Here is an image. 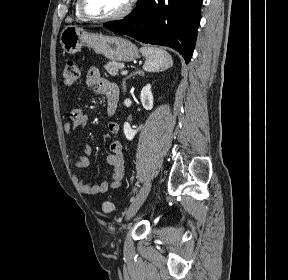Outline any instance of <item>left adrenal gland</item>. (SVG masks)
Returning <instances> with one entry per match:
<instances>
[{"instance_id": "1", "label": "left adrenal gland", "mask_w": 288, "mask_h": 280, "mask_svg": "<svg viewBox=\"0 0 288 280\" xmlns=\"http://www.w3.org/2000/svg\"><path fill=\"white\" fill-rule=\"evenodd\" d=\"M136 75H144V72L142 70H136L134 72H132L130 75H128L122 82V88H123V92H126V80L130 79L131 77H135Z\"/></svg>"}]
</instances>
